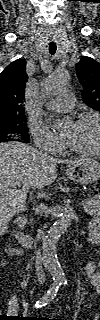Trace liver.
Instances as JSON below:
<instances>
[{"label": "liver", "instance_id": "1", "mask_svg": "<svg viewBox=\"0 0 100 320\" xmlns=\"http://www.w3.org/2000/svg\"><path fill=\"white\" fill-rule=\"evenodd\" d=\"M76 160H59L50 157L20 141L0 144V216L6 224L15 214L25 211L29 188L37 189L52 184L58 163ZM19 182V184H17ZM22 184V188L17 186Z\"/></svg>", "mask_w": 100, "mask_h": 320}]
</instances>
